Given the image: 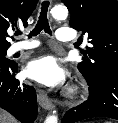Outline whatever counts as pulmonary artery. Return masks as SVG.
<instances>
[{
    "instance_id": "obj_1",
    "label": "pulmonary artery",
    "mask_w": 118,
    "mask_h": 123,
    "mask_svg": "<svg viewBox=\"0 0 118 123\" xmlns=\"http://www.w3.org/2000/svg\"><path fill=\"white\" fill-rule=\"evenodd\" d=\"M56 38L59 41L67 42V41L73 40L75 38V34L72 32V29L62 27L56 31ZM38 45L39 43L36 41L18 42L12 45V47L10 48V52L11 53L23 52V51L33 49L37 47Z\"/></svg>"
}]
</instances>
